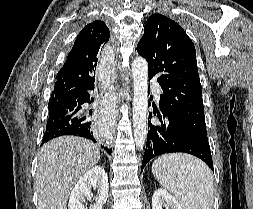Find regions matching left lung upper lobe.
I'll return each mask as SVG.
<instances>
[{
    "label": "left lung upper lobe",
    "mask_w": 253,
    "mask_h": 209,
    "mask_svg": "<svg viewBox=\"0 0 253 209\" xmlns=\"http://www.w3.org/2000/svg\"><path fill=\"white\" fill-rule=\"evenodd\" d=\"M137 52L148 62L149 78L157 77L163 90L162 113L207 139L196 51L186 32L173 20L153 14Z\"/></svg>",
    "instance_id": "1"
}]
</instances>
